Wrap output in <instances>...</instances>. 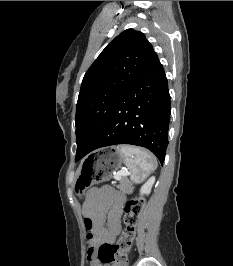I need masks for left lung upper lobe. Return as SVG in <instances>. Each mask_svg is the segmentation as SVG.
Here are the masks:
<instances>
[{"mask_svg": "<svg viewBox=\"0 0 233 266\" xmlns=\"http://www.w3.org/2000/svg\"><path fill=\"white\" fill-rule=\"evenodd\" d=\"M153 53L143 33L127 29L113 39L90 66L84 75L76 107V161Z\"/></svg>", "mask_w": 233, "mask_h": 266, "instance_id": "5c2ea615", "label": "left lung upper lobe"}]
</instances>
